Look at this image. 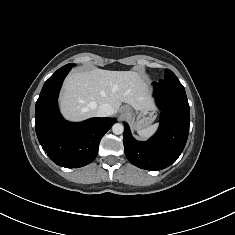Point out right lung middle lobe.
I'll list each match as a JSON object with an SVG mask.
<instances>
[{
  "label": "right lung middle lobe",
  "instance_id": "dd1d6c3e",
  "mask_svg": "<svg viewBox=\"0 0 235 235\" xmlns=\"http://www.w3.org/2000/svg\"><path fill=\"white\" fill-rule=\"evenodd\" d=\"M68 67H72V64H67V65L63 66L62 68H68ZM62 68H60V69H62Z\"/></svg>",
  "mask_w": 235,
  "mask_h": 235
}]
</instances>
